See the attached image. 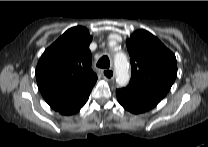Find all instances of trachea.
Masks as SVG:
<instances>
[{
    "instance_id": "obj_1",
    "label": "trachea",
    "mask_w": 208,
    "mask_h": 147,
    "mask_svg": "<svg viewBox=\"0 0 208 147\" xmlns=\"http://www.w3.org/2000/svg\"><path fill=\"white\" fill-rule=\"evenodd\" d=\"M97 67L99 68H109L110 67V60L108 56L101 57L97 62Z\"/></svg>"
}]
</instances>
